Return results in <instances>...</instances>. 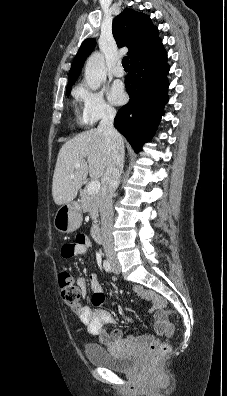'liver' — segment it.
<instances>
[{"label":"liver","mask_w":227,"mask_h":396,"mask_svg":"<svg viewBox=\"0 0 227 396\" xmlns=\"http://www.w3.org/2000/svg\"><path fill=\"white\" fill-rule=\"evenodd\" d=\"M120 137L124 148V138ZM108 159L106 139L98 129L87 130L65 142L59 151L53 175L55 204L64 205L73 201L88 174L95 179L102 177ZM76 163H80L79 168L75 167Z\"/></svg>","instance_id":"liver-1"}]
</instances>
